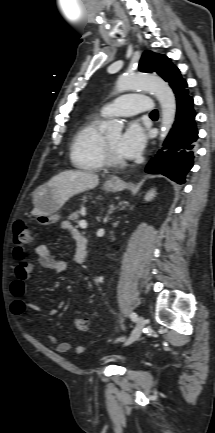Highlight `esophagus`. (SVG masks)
<instances>
[{
	"mask_svg": "<svg viewBox=\"0 0 215 433\" xmlns=\"http://www.w3.org/2000/svg\"><path fill=\"white\" fill-rule=\"evenodd\" d=\"M110 184L119 185L121 184V180L118 177H113L108 181Z\"/></svg>",
	"mask_w": 215,
	"mask_h": 433,
	"instance_id": "esophagus-1",
	"label": "esophagus"
}]
</instances>
